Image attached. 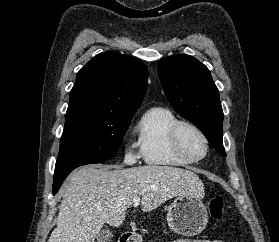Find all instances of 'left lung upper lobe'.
<instances>
[{"label": "left lung upper lobe", "instance_id": "5c2ea615", "mask_svg": "<svg viewBox=\"0 0 279 242\" xmlns=\"http://www.w3.org/2000/svg\"><path fill=\"white\" fill-rule=\"evenodd\" d=\"M164 92L174 110L195 124L211 147L226 155L222 143L223 111L208 68L196 58L178 54L157 65Z\"/></svg>", "mask_w": 279, "mask_h": 242}]
</instances>
